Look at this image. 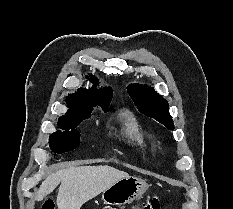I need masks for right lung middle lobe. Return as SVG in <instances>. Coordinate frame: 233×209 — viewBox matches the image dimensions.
<instances>
[{"label":"right lung middle lobe","instance_id":"1","mask_svg":"<svg viewBox=\"0 0 233 209\" xmlns=\"http://www.w3.org/2000/svg\"><path fill=\"white\" fill-rule=\"evenodd\" d=\"M90 112L67 113L58 120L59 128L66 131H56L50 135L49 144L53 152L61 154L75 149L79 145L80 132L75 128L88 118ZM71 129V130H69Z\"/></svg>","mask_w":233,"mask_h":209}]
</instances>
